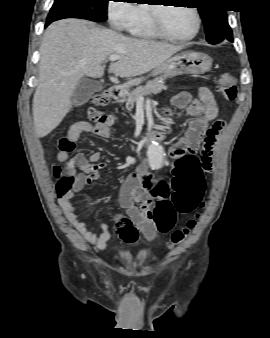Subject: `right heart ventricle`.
Listing matches in <instances>:
<instances>
[{
    "label": "right heart ventricle",
    "mask_w": 270,
    "mask_h": 338,
    "mask_svg": "<svg viewBox=\"0 0 270 338\" xmlns=\"http://www.w3.org/2000/svg\"><path fill=\"white\" fill-rule=\"evenodd\" d=\"M136 18L125 28L130 34L144 38L154 39L158 35L154 32L150 24V7L136 6Z\"/></svg>",
    "instance_id": "1"
}]
</instances>
